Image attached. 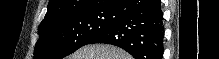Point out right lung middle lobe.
Instances as JSON below:
<instances>
[{"label": "right lung middle lobe", "instance_id": "1", "mask_svg": "<svg viewBox=\"0 0 219 59\" xmlns=\"http://www.w3.org/2000/svg\"><path fill=\"white\" fill-rule=\"evenodd\" d=\"M113 9L66 16L39 26L34 59H62L88 44L114 22Z\"/></svg>", "mask_w": 219, "mask_h": 59}]
</instances>
